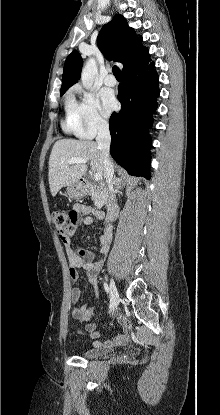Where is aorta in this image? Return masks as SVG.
Masks as SVG:
<instances>
[{
    "label": "aorta",
    "mask_w": 220,
    "mask_h": 415,
    "mask_svg": "<svg viewBox=\"0 0 220 415\" xmlns=\"http://www.w3.org/2000/svg\"><path fill=\"white\" fill-rule=\"evenodd\" d=\"M97 73L98 68L96 61L93 58L88 59L81 73L82 85L87 89L91 88Z\"/></svg>",
    "instance_id": "aorta-1"
}]
</instances>
